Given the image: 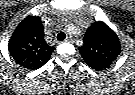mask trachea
<instances>
[{"instance_id":"obj_1","label":"trachea","mask_w":135,"mask_h":95,"mask_svg":"<svg viewBox=\"0 0 135 95\" xmlns=\"http://www.w3.org/2000/svg\"><path fill=\"white\" fill-rule=\"evenodd\" d=\"M65 38H66V35H65V33H63V32H60V33L57 35V40H59V41H63Z\"/></svg>"}]
</instances>
